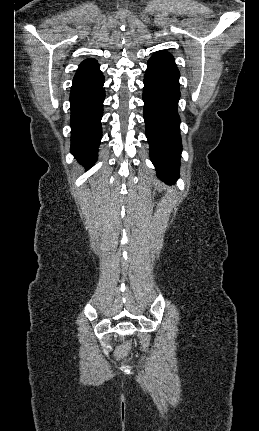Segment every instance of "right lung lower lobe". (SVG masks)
Segmentation results:
<instances>
[{"mask_svg":"<svg viewBox=\"0 0 259 431\" xmlns=\"http://www.w3.org/2000/svg\"><path fill=\"white\" fill-rule=\"evenodd\" d=\"M98 63L80 67L73 79L71 103V153L90 168L97 160L102 138L101 118L105 89Z\"/></svg>","mask_w":259,"mask_h":431,"instance_id":"1","label":"right lung lower lobe"}]
</instances>
